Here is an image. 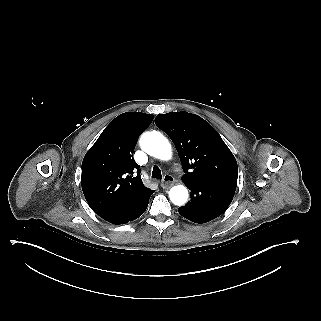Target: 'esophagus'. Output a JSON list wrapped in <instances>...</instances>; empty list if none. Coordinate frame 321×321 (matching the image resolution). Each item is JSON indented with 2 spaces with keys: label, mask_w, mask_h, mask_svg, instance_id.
I'll list each match as a JSON object with an SVG mask.
<instances>
[{
  "label": "esophagus",
  "mask_w": 321,
  "mask_h": 321,
  "mask_svg": "<svg viewBox=\"0 0 321 321\" xmlns=\"http://www.w3.org/2000/svg\"><path fill=\"white\" fill-rule=\"evenodd\" d=\"M174 177L169 175V174H166L163 178V181L161 183V187L163 189H169L171 188L173 185H174Z\"/></svg>",
  "instance_id": "esophagus-1"
}]
</instances>
